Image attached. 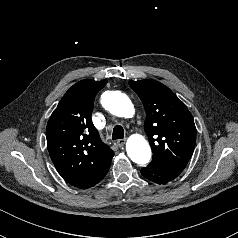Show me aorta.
Segmentation results:
<instances>
[{
	"mask_svg": "<svg viewBox=\"0 0 238 238\" xmlns=\"http://www.w3.org/2000/svg\"><path fill=\"white\" fill-rule=\"evenodd\" d=\"M105 109L118 117L130 118L134 114L131 100L118 91L106 92L102 98ZM126 150L129 158L140 165L147 164L151 159V149L146 139L141 135H132L127 140Z\"/></svg>",
	"mask_w": 238,
	"mask_h": 238,
	"instance_id": "obj_1",
	"label": "aorta"
}]
</instances>
